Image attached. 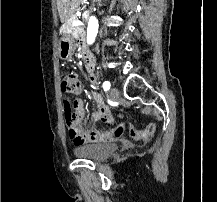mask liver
I'll return each instance as SVG.
<instances>
[{
  "mask_svg": "<svg viewBox=\"0 0 217 202\" xmlns=\"http://www.w3.org/2000/svg\"><path fill=\"white\" fill-rule=\"evenodd\" d=\"M80 2L81 0H57V10L61 24L67 22L75 14L77 8L80 6Z\"/></svg>",
  "mask_w": 217,
  "mask_h": 202,
  "instance_id": "liver-1",
  "label": "liver"
}]
</instances>
